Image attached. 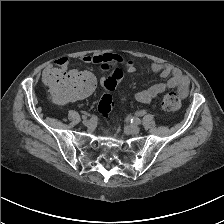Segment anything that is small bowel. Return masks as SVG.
Returning <instances> with one entry per match:
<instances>
[{
	"label": "small bowel",
	"mask_w": 224,
	"mask_h": 224,
	"mask_svg": "<svg viewBox=\"0 0 224 224\" xmlns=\"http://www.w3.org/2000/svg\"><path fill=\"white\" fill-rule=\"evenodd\" d=\"M81 60L86 64H95L102 69L121 66L129 73L136 71V63L134 60L114 53L85 55ZM56 64L59 68L64 69L68 66L69 59L61 57L56 61ZM151 70L154 73H158L162 78H166V81L154 84L147 89L137 92L135 94L136 101L140 103H149L167 89H177L178 94L183 98L188 95L189 79L183 75L179 69L169 64L153 63L151 64ZM54 71L55 68H46L44 71V78L47 79Z\"/></svg>",
	"instance_id": "1"
}]
</instances>
